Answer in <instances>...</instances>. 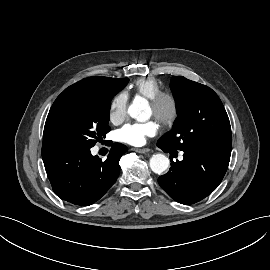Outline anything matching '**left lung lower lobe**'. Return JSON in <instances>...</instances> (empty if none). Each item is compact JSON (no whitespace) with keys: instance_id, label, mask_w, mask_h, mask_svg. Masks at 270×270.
Instances as JSON below:
<instances>
[{"instance_id":"obj_1","label":"left lung lower lobe","mask_w":270,"mask_h":270,"mask_svg":"<svg viewBox=\"0 0 270 270\" xmlns=\"http://www.w3.org/2000/svg\"><path fill=\"white\" fill-rule=\"evenodd\" d=\"M167 152V146L158 144ZM182 161L171 160L168 173L158 178L162 189L181 204H193L210 195L222 181L230 161L231 148L193 146L183 150Z\"/></svg>"}]
</instances>
